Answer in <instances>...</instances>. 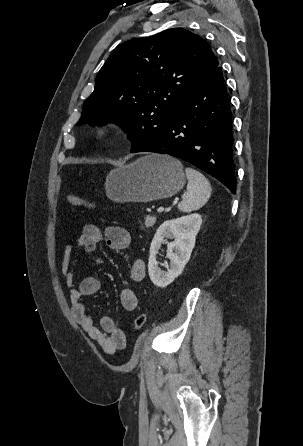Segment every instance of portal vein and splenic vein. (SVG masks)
I'll return each instance as SVG.
<instances>
[{
	"label": "portal vein and splenic vein",
	"instance_id": "1",
	"mask_svg": "<svg viewBox=\"0 0 303 446\" xmlns=\"http://www.w3.org/2000/svg\"><path fill=\"white\" fill-rule=\"evenodd\" d=\"M164 211V207H159L158 209H157V212H159V213H161V212H163Z\"/></svg>",
	"mask_w": 303,
	"mask_h": 446
}]
</instances>
